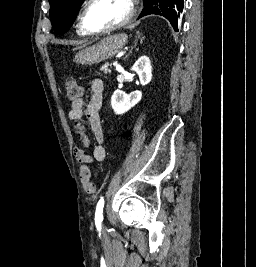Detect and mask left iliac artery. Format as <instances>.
Here are the masks:
<instances>
[{"mask_svg":"<svg viewBox=\"0 0 256 267\" xmlns=\"http://www.w3.org/2000/svg\"><path fill=\"white\" fill-rule=\"evenodd\" d=\"M103 207H104V198L101 199L97 203L96 212H95V224L96 226H101L103 221Z\"/></svg>","mask_w":256,"mask_h":267,"instance_id":"obj_1","label":"left iliac artery"}]
</instances>
